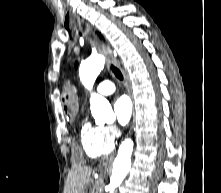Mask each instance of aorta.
<instances>
[{
    "label": "aorta",
    "instance_id": "762f6f07",
    "mask_svg": "<svg viewBox=\"0 0 221 193\" xmlns=\"http://www.w3.org/2000/svg\"><path fill=\"white\" fill-rule=\"evenodd\" d=\"M105 58L101 55H94L83 61L79 68V76L82 84L89 90L103 70ZM90 109L93 117L97 121H110L114 118L113 110L106 98L96 93L90 97ZM134 143L130 138L125 139L118 150L115 158L113 170L109 183V193H114L127 176L131 167V156Z\"/></svg>",
    "mask_w": 221,
    "mask_h": 193
}]
</instances>
